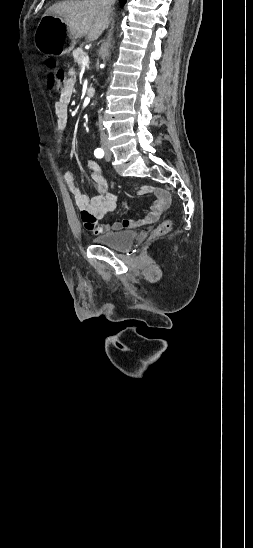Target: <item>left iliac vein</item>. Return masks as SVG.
<instances>
[{
	"instance_id": "left-iliac-vein-1",
	"label": "left iliac vein",
	"mask_w": 253,
	"mask_h": 548,
	"mask_svg": "<svg viewBox=\"0 0 253 548\" xmlns=\"http://www.w3.org/2000/svg\"><path fill=\"white\" fill-rule=\"evenodd\" d=\"M105 152H106V154H105V159H106V161H110V159H111V152H110L109 147H108L107 145L105 146Z\"/></svg>"
}]
</instances>
